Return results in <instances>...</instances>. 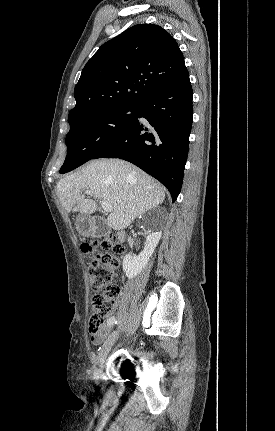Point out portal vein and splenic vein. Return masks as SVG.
<instances>
[{
	"label": "portal vein and splenic vein",
	"mask_w": 275,
	"mask_h": 431,
	"mask_svg": "<svg viewBox=\"0 0 275 431\" xmlns=\"http://www.w3.org/2000/svg\"><path fill=\"white\" fill-rule=\"evenodd\" d=\"M84 193L87 195H93V191L90 190H87ZM101 206L105 212H111L113 210L112 205L106 201H101Z\"/></svg>",
	"instance_id": "obj_1"
}]
</instances>
